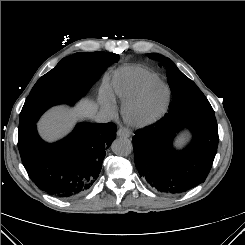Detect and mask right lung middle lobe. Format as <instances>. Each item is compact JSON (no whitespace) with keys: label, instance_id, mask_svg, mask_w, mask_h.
Wrapping results in <instances>:
<instances>
[{"label":"right lung middle lobe","instance_id":"right-lung-middle-lobe-1","mask_svg":"<svg viewBox=\"0 0 245 245\" xmlns=\"http://www.w3.org/2000/svg\"><path fill=\"white\" fill-rule=\"evenodd\" d=\"M87 55L98 57L106 67L119 60L118 54L107 52H79L63 58L32 88L20 113L19 130L35 124L51 106L72 105L85 94L91 84L84 79L80 60Z\"/></svg>","mask_w":245,"mask_h":245}]
</instances>
